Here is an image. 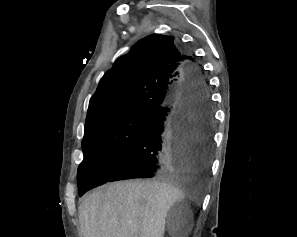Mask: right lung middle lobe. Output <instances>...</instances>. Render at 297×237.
Listing matches in <instances>:
<instances>
[{"label":"right lung middle lobe","instance_id":"dd1d6c3e","mask_svg":"<svg viewBox=\"0 0 297 237\" xmlns=\"http://www.w3.org/2000/svg\"><path fill=\"white\" fill-rule=\"evenodd\" d=\"M152 112L138 111L100 120L85 129L84 159L78 167V191L97 187L137 140Z\"/></svg>","mask_w":297,"mask_h":237}]
</instances>
